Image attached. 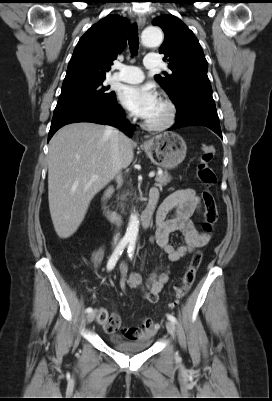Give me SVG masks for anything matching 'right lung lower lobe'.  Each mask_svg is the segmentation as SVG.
Here are the masks:
<instances>
[{"mask_svg": "<svg viewBox=\"0 0 272 401\" xmlns=\"http://www.w3.org/2000/svg\"><path fill=\"white\" fill-rule=\"evenodd\" d=\"M76 122H93L118 127L128 136L133 133L131 125L123 119V109L114 100L106 107L80 106L53 115L48 141L64 125Z\"/></svg>", "mask_w": 272, "mask_h": 401, "instance_id": "right-lung-lower-lobe-1", "label": "right lung lower lobe"}]
</instances>
